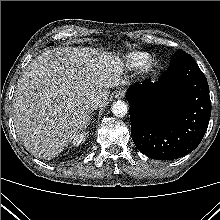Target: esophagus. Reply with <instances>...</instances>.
Wrapping results in <instances>:
<instances>
[{
	"mask_svg": "<svg viewBox=\"0 0 220 220\" xmlns=\"http://www.w3.org/2000/svg\"><path fill=\"white\" fill-rule=\"evenodd\" d=\"M125 96V90L124 89H120L119 91L116 92L115 98L117 99H122Z\"/></svg>",
	"mask_w": 220,
	"mask_h": 220,
	"instance_id": "34e87169",
	"label": "esophagus"
}]
</instances>
